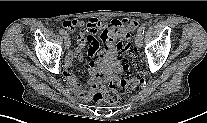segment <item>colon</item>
Returning a JSON list of instances; mask_svg holds the SVG:
<instances>
[{"label": "colon", "mask_w": 207, "mask_h": 123, "mask_svg": "<svg viewBox=\"0 0 207 123\" xmlns=\"http://www.w3.org/2000/svg\"><path fill=\"white\" fill-rule=\"evenodd\" d=\"M117 48L126 74H114L109 77L104 83V88L93 95V100L97 103H119L125 94L137 91L143 83L132 43V31L126 32L119 38Z\"/></svg>", "instance_id": "1"}]
</instances>
